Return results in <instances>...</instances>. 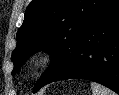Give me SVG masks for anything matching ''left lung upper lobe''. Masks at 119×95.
Instances as JSON below:
<instances>
[{
    "label": "left lung upper lobe",
    "instance_id": "1",
    "mask_svg": "<svg viewBox=\"0 0 119 95\" xmlns=\"http://www.w3.org/2000/svg\"><path fill=\"white\" fill-rule=\"evenodd\" d=\"M115 1L33 0L17 32V46L11 57L13 74L39 50L51 54L52 64L37 82L34 92L65 72L74 61L85 32Z\"/></svg>",
    "mask_w": 119,
    "mask_h": 95
}]
</instances>
